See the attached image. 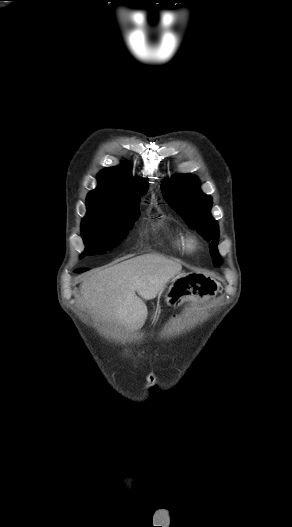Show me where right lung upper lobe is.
Segmentation results:
<instances>
[{
	"label": "right lung upper lobe",
	"mask_w": 292,
	"mask_h": 527,
	"mask_svg": "<svg viewBox=\"0 0 292 527\" xmlns=\"http://www.w3.org/2000/svg\"><path fill=\"white\" fill-rule=\"evenodd\" d=\"M148 182H137L125 167H113L98 175V187L88 197L108 203L136 205L147 191Z\"/></svg>",
	"instance_id": "1"
}]
</instances>
